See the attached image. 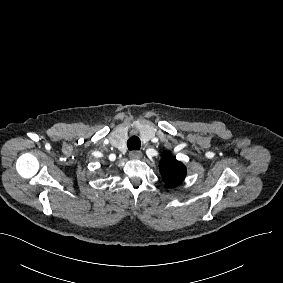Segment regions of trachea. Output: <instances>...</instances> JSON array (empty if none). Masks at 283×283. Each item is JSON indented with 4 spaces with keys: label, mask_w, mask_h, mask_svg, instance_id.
I'll use <instances>...</instances> for the list:
<instances>
[{
    "label": "trachea",
    "mask_w": 283,
    "mask_h": 283,
    "mask_svg": "<svg viewBox=\"0 0 283 283\" xmlns=\"http://www.w3.org/2000/svg\"><path fill=\"white\" fill-rule=\"evenodd\" d=\"M127 147L129 150H139L141 147V141L139 137L135 135L130 137L127 141Z\"/></svg>",
    "instance_id": "obj_1"
}]
</instances>
